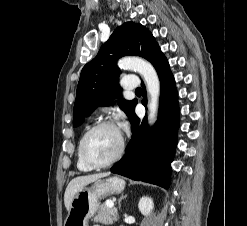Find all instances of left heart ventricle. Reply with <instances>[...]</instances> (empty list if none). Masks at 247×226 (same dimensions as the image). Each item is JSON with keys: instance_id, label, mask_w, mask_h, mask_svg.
<instances>
[{"instance_id": "1", "label": "left heart ventricle", "mask_w": 247, "mask_h": 226, "mask_svg": "<svg viewBox=\"0 0 247 226\" xmlns=\"http://www.w3.org/2000/svg\"><path fill=\"white\" fill-rule=\"evenodd\" d=\"M120 132L114 128H101L93 132L85 142V153L94 163L111 159L120 146Z\"/></svg>"}]
</instances>
